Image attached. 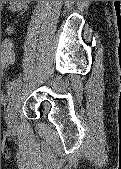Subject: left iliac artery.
<instances>
[{"mask_svg":"<svg viewBox=\"0 0 121 169\" xmlns=\"http://www.w3.org/2000/svg\"><path fill=\"white\" fill-rule=\"evenodd\" d=\"M22 84V80L20 78L14 79L12 82H10L8 86V96L11 99L15 92L20 88Z\"/></svg>","mask_w":121,"mask_h":169,"instance_id":"44dca946","label":"left iliac artery"}]
</instances>
